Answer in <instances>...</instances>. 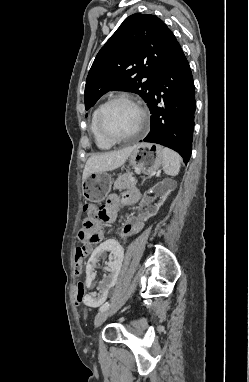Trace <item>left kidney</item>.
Wrapping results in <instances>:
<instances>
[{"instance_id": "obj_1", "label": "left kidney", "mask_w": 249, "mask_h": 382, "mask_svg": "<svg viewBox=\"0 0 249 382\" xmlns=\"http://www.w3.org/2000/svg\"><path fill=\"white\" fill-rule=\"evenodd\" d=\"M177 186L176 181L172 179H164L156 185H151V192L145 197V201H139V208H156V212L163 205L167 196ZM158 203V204H157ZM101 245L93 250V253L86 263V276L83 282L88 286L92 281H96L97 277L103 273V280L97 281L96 289L89 291L88 295H84L81 304L85 308L101 307L102 302H106L110 297L111 287L115 286L116 277L121 272L122 261L124 257V246L119 245L116 237H109L108 240H101ZM102 257H113V260L102 262Z\"/></svg>"}]
</instances>
